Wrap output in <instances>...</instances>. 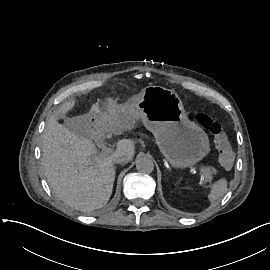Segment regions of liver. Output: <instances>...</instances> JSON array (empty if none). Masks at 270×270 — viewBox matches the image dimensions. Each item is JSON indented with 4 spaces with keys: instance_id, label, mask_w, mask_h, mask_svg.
<instances>
[{
    "instance_id": "obj_1",
    "label": "liver",
    "mask_w": 270,
    "mask_h": 270,
    "mask_svg": "<svg viewBox=\"0 0 270 270\" xmlns=\"http://www.w3.org/2000/svg\"><path fill=\"white\" fill-rule=\"evenodd\" d=\"M76 100L63 103L58 113L67 114L74 109ZM128 114L113 120L109 130L117 135L131 132L141 111L135 106V97L130 99ZM103 125H107L102 119ZM43 157L45 175L55 195L75 209L92 211L103 207L111 197L115 181L113 155L122 154L131 161L135 156L132 141L119 140L113 153L102 157L96 154L89 138L79 136L57 121L49 119L43 134Z\"/></svg>"
}]
</instances>
